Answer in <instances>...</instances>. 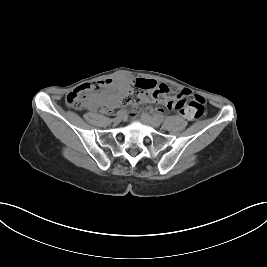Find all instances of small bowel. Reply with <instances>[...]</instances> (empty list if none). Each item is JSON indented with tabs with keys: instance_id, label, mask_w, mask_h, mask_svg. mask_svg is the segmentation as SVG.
I'll return each instance as SVG.
<instances>
[{
	"instance_id": "1",
	"label": "small bowel",
	"mask_w": 267,
	"mask_h": 267,
	"mask_svg": "<svg viewBox=\"0 0 267 267\" xmlns=\"http://www.w3.org/2000/svg\"><path fill=\"white\" fill-rule=\"evenodd\" d=\"M100 85H107L106 82H101ZM98 84L86 85L84 86L87 89L95 88ZM118 97L117 94H111L109 96H93L87 102V107L89 109H100L102 111H108L113 105H115V99ZM181 93L172 96L171 102L168 105L169 109H174L176 111V106L179 105L182 101ZM188 119V118H187Z\"/></svg>"
}]
</instances>
